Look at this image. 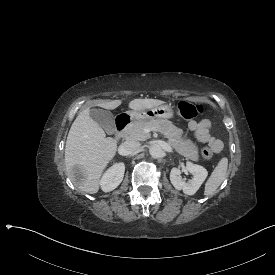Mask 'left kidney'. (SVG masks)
<instances>
[{
    "mask_svg": "<svg viewBox=\"0 0 275 275\" xmlns=\"http://www.w3.org/2000/svg\"><path fill=\"white\" fill-rule=\"evenodd\" d=\"M186 169L193 174L192 180L185 182L180 176L181 171L178 168H172L170 172V181L177 190H183L185 194L193 195L206 179L208 172L203 166L191 162L186 163Z\"/></svg>",
    "mask_w": 275,
    "mask_h": 275,
    "instance_id": "obj_1",
    "label": "left kidney"
}]
</instances>
